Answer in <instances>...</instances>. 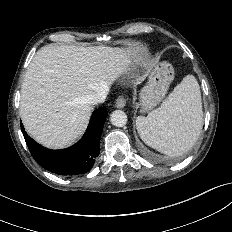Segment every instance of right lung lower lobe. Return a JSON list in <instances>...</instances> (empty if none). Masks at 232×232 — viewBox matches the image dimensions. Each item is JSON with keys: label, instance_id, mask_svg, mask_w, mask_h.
I'll return each mask as SVG.
<instances>
[{"label": "right lung lower lobe", "instance_id": "1", "mask_svg": "<svg viewBox=\"0 0 232 232\" xmlns=\"http://www.w3.org/2000/svg\"><path fill=\"white\" fill-rule=\"evenodd\" d=\"M107 117L105 107L96 109L84 136L75 145L63 150H49L30 138L22 123L21 129L34 160L46 170L59 175H77L91 170L100 152V137Z\"/></svg>", "mask_w": 232, "mask_h": 232}]
</instances>
